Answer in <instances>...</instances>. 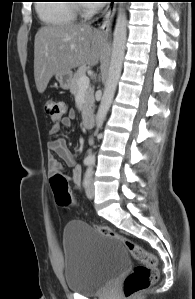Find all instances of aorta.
<instances>
[{
  "mask_svg": "<svg viewBox=\"0 0 195 299\" xmlns=\"http://www.w3.org/2000/svg\"><path fill=\"white\" fill-rule=\"evenodd\" d=\"M126 39L127 17L124 5L122 3L119 7L114 27L112 55L108 69V78L106 80L105 90L96 116L97 127H100L103 124L115 95L117 84L122 71V64L126 48ZM88 158L92 161L95 160L94 155H90Z\"/></svg>",
  "mask_w": 195,
  "mask_h": 299,
  "instance_id": "obj_1",
  "label": "aorta"
}]
</instances>
